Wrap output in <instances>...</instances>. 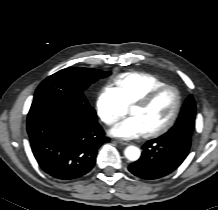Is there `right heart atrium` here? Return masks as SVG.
<instances>
[{
	"label": "right heart atrium",
	"mask_w": 218,
	"mask_h": 210,
	"mask_svg": "<svg viewBox=\"0 0 218 210\" xmlns=\"http://www.w3.org/2000/svg\"><path fill=\"white\" fill-rule=\"evenodd\" d=\"M95 108L99 118L109 126L116 124L128 112V106L110 86L100 90L96 97Z\"/></svg>",
	"instance_id": "d8ad5b80"
}]
</instances>
